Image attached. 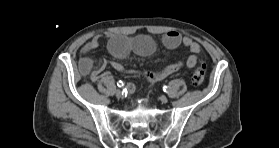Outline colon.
Listing matches in <instances>:
<instances>
[{
    "instance_id": "obj_1",
    "label": "colon",
    "mask_w": 279,
    "mask_h": 148,
    "mask_svg": "<svg viewBox=\"0 0 279 148\" xmlns=\"http://www.w3.org/2000/svg\"><path fill=\"white\" fill-rule=\"evenodd\" d=\"M205 76H206V65L201 63L193 71L192 76H191V83L194 86H199L204 82Z\"/></svg>"
}]
</instances>
